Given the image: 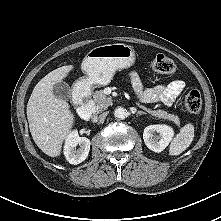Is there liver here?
Returning <instances> with one entry per match:
<instances>
[{
    "label": "liver",
    "instance_id": "obj_1",
    "mask_svg": "<svg viewBox=\"0 0 221 221\" xmlns=\"http://www.w3.org/2000/svg\"><path fill=\"white\" fill-rule=\"evenodd\" d=\"M73 68V65H66L48 73L36 84L27 104L32 138L50 157L61 154L62 144L74 125L75 117L70 105L53 93V86L62 82Z\"/></svg>",
    "mask_w": 221,
    "mask_h": 221
}]
</instances>
